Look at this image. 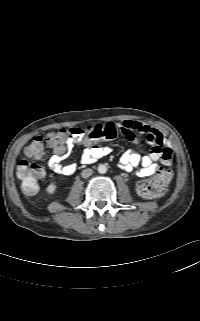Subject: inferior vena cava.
<instances>
[{
  "mask_svg": "<svg viewBox=\"0 0 200 321\" xmlns=\"http://www.w3.org/2000/svg\"><path fill=\"white\" fill-rule=\"evenodd\" d=\"M93 173V170L90 168L84 169L81 173L83 178H88L89 176H91Z\"/></svg>",
  "mask_w": 200,
  "mask_h": 321,
  "instance_id": "1",
  "label": "inferior vena cava"
}]
</instances>
